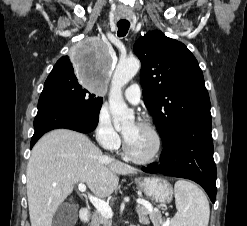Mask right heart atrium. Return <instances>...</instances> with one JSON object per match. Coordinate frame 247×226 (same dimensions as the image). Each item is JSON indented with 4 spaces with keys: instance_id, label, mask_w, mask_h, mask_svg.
Segmentation results:
<instances>
[{
    "instance_id": "right-heart-atrium-1",
    "label": "right heart atrium",
    "mask_w": 247,
    "mask_h": 226,
    "mask_svg": "<svg viewBox=\"0 0 247 226\" xmlns=\"http://www.w3.org/2000/svg\"><path fill=\"white\" fill-rule=\"evenodd\" d=\"M94 131L96 140L102 147L114 150L120 145V136L112 124L110 112L105 105L98 111Z\"/></svg>"
}]
</instances>
